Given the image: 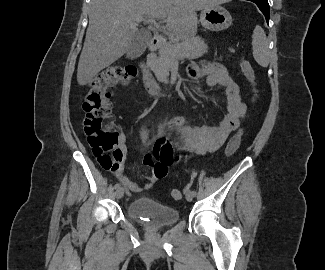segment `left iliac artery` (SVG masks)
I'll return each instance as SVG.
<instances>
[{"label":"left iliac artery","instance_id":"left-iliac-artery-1","mask_svg":"<svg viewBox=\"0 0 325 270\" xmlns=\"http://www.w3.org/2000/svg\"><path fill=\"white\" fill-rule=\"evenodd\" d=\"M192 194H193L194 196H196V191H195V190H193V191H192Z\"/></svg>","mask_w":325,"mask_h":270}]
</instances>
